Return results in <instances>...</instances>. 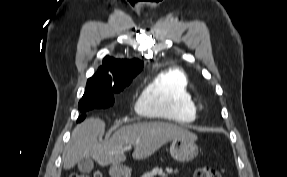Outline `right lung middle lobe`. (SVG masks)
<instances>
[{
	"instance_id": "dd1d6c3e",
	"label": "right lung middle lobe",
	"mask_w": 287,
	"mask_h": 177,
	"mask_svg": "<svg viewBox=\"0 0 287 177\" xmlns=\"http://www.w3.org/2000/svg\"><path fill=\"white\" fill-rule=\"evenodd\" d=\"M131 82L121 83L114 86H103L101 84L87 81V86L82 99L79 101V110L84 114L94 108H106L114 104L113 93H119ZM81 116L78 121L83 120Z\"/></svg>"
}]
</instances>
